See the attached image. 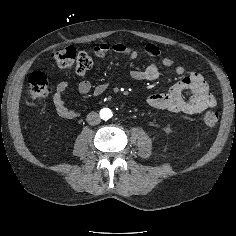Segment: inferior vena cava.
<instances>
[{
	"mask_svg": "<svg viewBox=\"0 0 236 236\" xmlns=\"http://www.w3.org/2000/svg\"><path fill=\"white\" fill-rule=\"evenodd\" d=\"M86 120H87L88 124L91 126L97 125L101 122V118H100L99 114L96 112H90L87 115Z\"/></svg>",
	"mask_w": 236,
	"mask_h": 236,
	"instance_id": "obj_1",
	"label": "inferior vena cava"
}]
</instances>
